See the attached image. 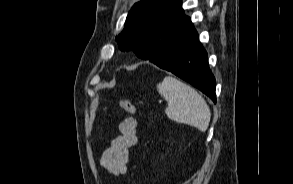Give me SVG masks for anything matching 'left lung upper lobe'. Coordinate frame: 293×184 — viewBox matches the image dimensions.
I'll list each match as a JSON object with an SVG mask.
<instances>
[{"instance_id":"obj_1","label":"left lung upper lobe","mask_w":293,"mask_h":184,"mask_svg":"<svg viewBox=\"0 0 293 184\" xmlns=\"http://www.w3.org/2000/svg\"><path fill=\"white\" fill-rule=\"evenodd\" d=\"M181 8V0H141L129 12L124 29L116 37L121 50L132 49L142 59H149L147 46L163 34L170 18Z\"/></svg>"}]
</instances>
